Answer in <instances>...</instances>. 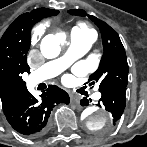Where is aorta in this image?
<instances>
[{"mask_svg": "<svg viewBox=\"0 0 147 147\" xmlns=\"http://www.w3.org/2000/svg\"><path fill=\"white\" fill-rule=\"evenodd\" d=\"M66 35L59 33L58 35H47L41 42V53L45 58H56L61 51V44L65 42ZM81 118L85 122L88 129L92 131H102L111 126L110 114L102 108L88 107L82 114Z\"/></svg>", "mask_w": 147, "mask_h": 147, "instance_id": "762f6f07", "label": "aorta"}]
</instances>
